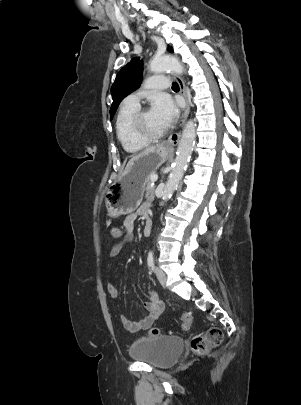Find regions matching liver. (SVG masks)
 I'll return each mask as SVG.
<instances>
[{"mask_svg":"<svg viewBox=\"0 0 301 405\" xmlns=\"http://www.w3.org/2000/svg\"><path fill=\"white\" fill-rule=\"evenodd\" d=\"M156 147H157V145H156V146H151V147L147 148L146 150H144V151H143L142 153H140L139 155L133 157V158L129 161L128 165H129L130 162H131L132 160H134L135 158L141 156L142 154H144V153H146V152H148V151H150V150H152V149H154V148H156ZM128 165H127V166H128Z\"/></svg>","mask_w":301,"mask_h":405,"instance_id":"1","label":"liver"}]
</instances>
